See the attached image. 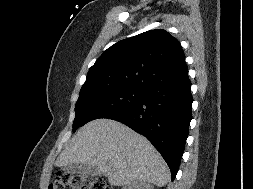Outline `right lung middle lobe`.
<instances>
[{"instance_id": "1", "label": "right lung middle lobe", "mask_w": 253, "mask_h": 189, "mask_svg": "<svg viewBox=\"0 0 253 189\" xmlns=\"http://www.w3.org/2000/svg\"><path fill=\"white\" fill-rule=\"evenodd\" d=\"M145 92L132 87L109 86L80 93L75 106L73 132L92 120L107 118L135 105Z\"/></svg>"}]
</instances>
